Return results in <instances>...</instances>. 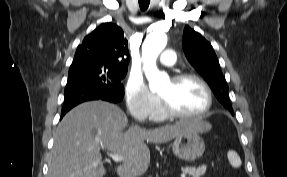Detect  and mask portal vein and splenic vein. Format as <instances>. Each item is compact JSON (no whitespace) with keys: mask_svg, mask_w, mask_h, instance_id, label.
Returning a JSON list of instances; mask_svg holds the SVG:
<instances>
[{"mask_svg":"<svg viewBox=\"0 0 287 177\" xmlns=\"http://www.w3.org/2000/svg\"><path fill=\"white\" fill-rule=\"evenodd\" d=\"M114 162H122L124 160L123 156L119 155V154H115V153H111V152H108L107 153ZM181 177H185V174L183 173L181 175Z\"/></svg>","mask_w":287,"mask_h":177,"instance_id":"portal-vein-and-splenic-vein-1","label":"portal vein and splenic vein"}]
</instances>
